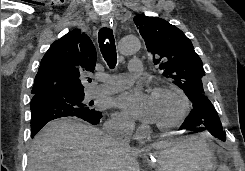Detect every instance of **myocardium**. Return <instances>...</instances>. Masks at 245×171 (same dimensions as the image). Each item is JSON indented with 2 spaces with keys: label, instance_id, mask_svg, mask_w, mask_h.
Returning a JSON list of instances; mask_svg holds the SVG:
<instances>
[{
  "label": "myocardium",
  "instance_id": "obj_1",
  "mask_svg": "<svg viewBox=\"0 0 245 171\" xmlns=\"http://www.w3.org/2000/svg\"><path fill=\"white\" fill-rule=\"evenodd\" d=\"M160 93H172L178 98L180 102V109L174 118L165 123H155V126L158 129L167 130L177 126L179 123L183 121V119L186 117L189 111L190 102L184 91L177 86L162 85L155 87L152 91V95Z\"/></svg>",
  "mask_w": 245,
  "mask_h": 171
}]
</instances>
